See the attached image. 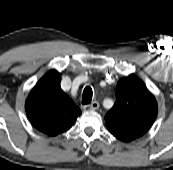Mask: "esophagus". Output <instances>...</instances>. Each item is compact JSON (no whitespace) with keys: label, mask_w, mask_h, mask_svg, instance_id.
<instances>
[{"label":"esophagus","mask_w":173,"mask_h":170,"mask_svg":"<svg viewBox=\"0 0 173 170\" xmlns=\"http://www.w3.org/2000/svg\"><path fill=\"white\" fill-rule=\"evenodd\" d=\"M98 109H99V102L98 101H93L91 104L83 106L84 111L98 110Z\"/></svg>","instance_id":"obj_1"}]
</instances>
